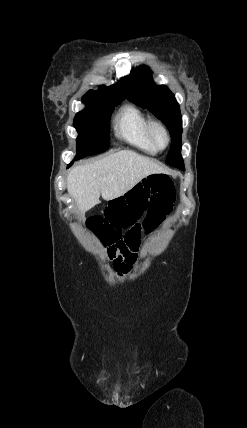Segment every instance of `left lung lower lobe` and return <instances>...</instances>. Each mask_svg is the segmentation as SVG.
Instances as JSON below:
<instances>
[{"instance_id":"0a47b994","label":"left lung lower lobe","mask_w":247,"mask_h":428,"mask_svg":"<svg viewBox=\"0 0 247 428\" xmlns=\"http://www.w3.org/2000/svg\"><path fill=\"white\" fill-rule=\"evenodd\" d=\"M177 168H179V169H181V170H184L185 168H184V165H180V166H178Z\"/></svg>"}]
</instances>
